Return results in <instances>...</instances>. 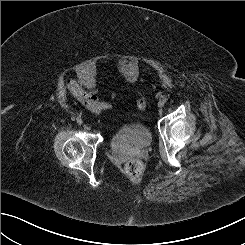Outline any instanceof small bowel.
I'll return each instance as SVG.
<instances>
[{"mask_svg":"<svg viewBox=\"0 0 245 245\" xmlns=\"http://www.w3.org/2000/svg\"><path fill=\"white\" fill-rule=\"evenodd\" d=\"M67 88L70 93L82 103L89 111L96 115H100L111 109L110 102L101 101L97 98V90H86L77 81L70 79L67 81ZM115 92L112 93V98H115Z\"/></svg>","mask_w":245,"mask_h":245,"instance_id":"c3829d8e","label":"small bowel"}]
</instances>
